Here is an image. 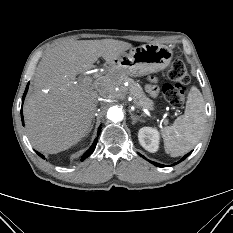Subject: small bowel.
I'll list each match as a JSON object with an SVG mask.
<instances>
[{
  "label": "small bowel",
  "instance_id": "small-bowel-1",
  "mask_svg": "<svg viewBox=\"0 0 233 233\" xmlns=\"http://www.w3.org/2000/svg\"><path fill=\"white\" fill-rule=\"evenodd\" d=\"M147 90L153 96H155L157 94V89H156L155 85H153V84L148 85Z\"/></svg>",
  "mask_w": 233,
  "mask_h": 233
}]
</instances>
